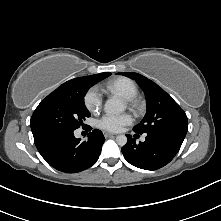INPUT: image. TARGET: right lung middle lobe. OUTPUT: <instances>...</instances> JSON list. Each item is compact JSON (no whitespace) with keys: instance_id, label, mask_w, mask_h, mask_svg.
<instances>
[{"instance_id":"dd1d6c3e","label":"right lung middle lobe","mask_w":221,"mask_h":221,"mask_svg":"<svg viewBox=\"0 0 221 221\" xmlns=\"http://www.w3.org/2000/svg\"><path fill=\"white\" fill-rule=\"evenodd\" d=\"M111 73L76 78L70 88L56 89L35 109L30 125L32 133L52 128L77 129L90 116L84 104L88 89Z\"/></svg>"}]
</instances>
